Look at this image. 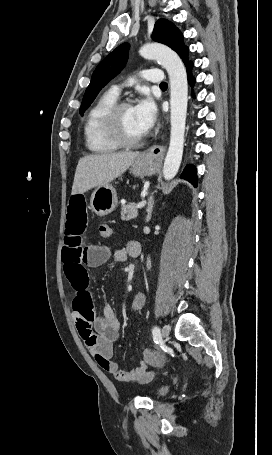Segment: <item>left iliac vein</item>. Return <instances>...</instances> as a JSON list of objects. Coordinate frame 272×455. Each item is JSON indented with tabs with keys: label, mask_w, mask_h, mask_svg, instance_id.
Here are the masks:
<instances>
[{
	"label": "left iliac vein",
	"mask_w": 272,
	"mask_h": 455,
	"mask_svg": "<svg viewBox=\"0 0 272 455\" xmlns=\"http://www.w3.org/2000/svg\"><path fill=\"white\" fill-rule=\"evenodd\" d=\"M169 327L167 325H164L162 327V336L167 339L169 337Z\"/></svg>",
	"instance_id": "1"
}]
</instances>
